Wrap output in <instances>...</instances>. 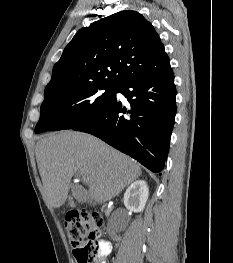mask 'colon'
Instances as JSON below:
<instances>
[{
  "label": "colon",
  "instance_id": "obj_1",
  "mask_svg": "<svg viewBox=\"0 0 233 263\" xmlns=\"http://www.w3.org/2000/svg\"><path fill=\"white\" fill-rule=\"evenodd\" d=\"M99 213L74 211L65 219V229L77 263H101L102 239Z\"/></svg>",
  "mask_w": 233,
  "mask_h": 263
}]
</instances>
